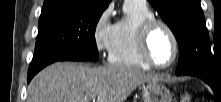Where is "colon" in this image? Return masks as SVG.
<instances>
[{"mask_svg": "<svg viewBox=\"0 0 221 102\" xmlns=\"http://www.w3.org/2000/svg\"><path fill=\"white\" fill-rule=\"evenodd\" d=\"M181 102H191L190 95L187 93L183 94V96L181 97Z\"/></svg>", "mask_w": 221, "mask_h": 102, "instance_id": "1", "label": "colon"}]
</instances>
